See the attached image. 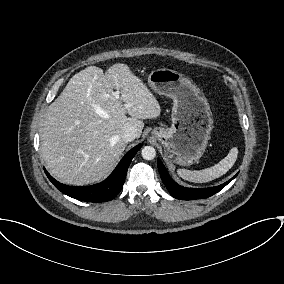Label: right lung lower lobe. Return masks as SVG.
<instances>
[{
	"label": "right lung lower lobe",
	"instance_id": "98d812e1",
	"mask_svg": "<svg viewBox=\"0 0 284 284\" xmlns=\"http://www.w3.org/2000/svg\"><path fill=\"white\" fill-rule=\"evenodd\" d=\"M141 144L131 149L119 162L112 174L103 182L85 187H72L59 183L45 170V173L54 186L62 193L86 202H106L112 200L121 191L129 164L134 155L141 148Z\"/></svg>",
	"mask_w": 284,
	"mask_h": 284
}]
</instances>
